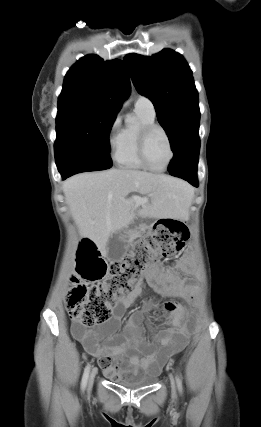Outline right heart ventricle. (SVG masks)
<instances>
[{
	"mask_svg": "<svg viewBox=\"0 0 261 427\" xmlns=\"http://www.w3.org/2000/svg\"><path fill=\"white\" fill-rule=\"evenodd\" d=\"M138 118L137 125H126L120 132L119 144L114 153L117 164L125 169H147L138 156V133L141 127L154 124L155 116H150L142 110L135 109Z\"/></svg>",
	"mask_w": 261,
	"mask_h": 427,
	"instance_id": "e07e8e85",
	"label": "right heart ventricle"
}]
</instances>
